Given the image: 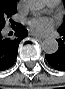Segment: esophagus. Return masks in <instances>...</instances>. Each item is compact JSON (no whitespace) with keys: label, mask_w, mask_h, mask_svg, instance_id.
Masks as SVG:
<instances>
[{"label":"esophagus","mask_w":65,"mask_h":89,"mask_svg":"<svg viewBox=\"0 0 65 89\" xmlns=\"http://www.w3.org/2000/svg\"><path fill=\"white\" fill-rule=\"evenodd\" d=\"M30 35L36 37V38H40V39H44L45 36L44 35H41V34H38V33H35V32H30Z\"/></svg>","instance_id":"1"}]
</instances>
